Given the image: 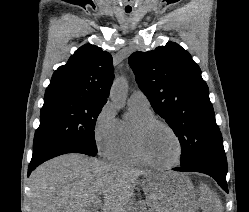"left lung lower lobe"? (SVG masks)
I'll use <instances>...</instances> for the list:
<instances>
[{
	"instance_id": "left-lung-lower-lobe-1",
	"label": "left lung lower lobe",
	"mask_w": 249,
	"mask_h": 212,
	"mask_svg": "<svg viewBox=\"0 0 249 212\" xmlns=\"http://www.w3.org/2000/svg\"><path fill=\"white\" fill-rule=\"evenodd\" d=\"M181 172H200L213 177L223 190L228 192L226 174L227 159L223 149L209 151L191 163L173 168Z\"/></svg>"
}]
</instances>
